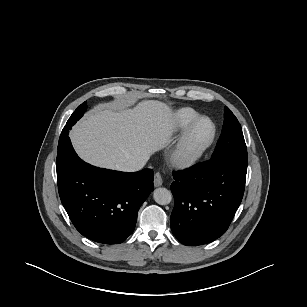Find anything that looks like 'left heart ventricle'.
<instances>
[{"label":"left heart ventricle","mask_w":307,"mask_h":307,"mask_svg":"<svg viewBox=\"0 0 307 307\" xmlns=\"http://www.w3.org/2000/svg\"><path fill=\"white\" fill-rule=\"evenodd\" d=\"M212 132V126L208 121L201 122L195 129L191 142L190 147L191 149H196L202 146L210 137Z\"/></svg>","instance_id":"b2bd125f"}]
</instances>
